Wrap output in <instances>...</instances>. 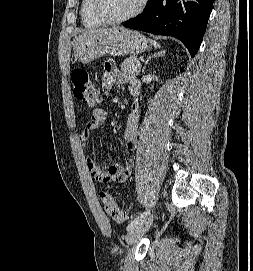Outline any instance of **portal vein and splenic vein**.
<instances>
[{"mask_svg": "<svg viewBox=\"0 0 253 271\" xmlns=\"http://www.w3.org/2000/svg\"><path fill=\"white\" fill-rule=\"evenodd\" d=\"M136 65H140V61L139 60L136 61Z\"/></svg>", "mask_w": 253, "mask_h": 271, "instance_id": "obj_1", "label": "portal vein and splenic vein"}]
</instances>
